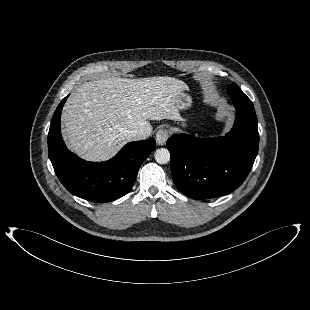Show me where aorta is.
<instances>
[{
	"mask_svg": "<svg viewBox=\"0 0 310 310\" xmlns=\"http://www.w3.org/2000/svg\"><path fill=\"white\" fill-rule=\"evenodd\" d=\"M154 157L157 163L166 164L170 161V152L166 148H158L154 153Z\"/></svg>",
	"mask_w": 310,
	"mask_h": 310,
	"instance_id": "obj_1",
	"label": "aorta"
}]
</instances>
